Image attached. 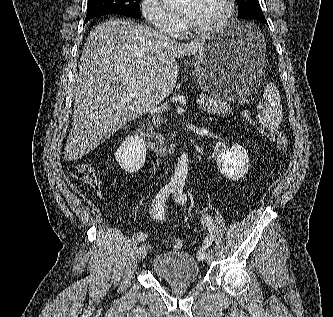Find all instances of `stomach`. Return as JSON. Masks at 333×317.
I'll return each instance as SVG.
<instances>
[{"instance_id": "1", "label": "stomach", "mask_w": 333, "mask_h": 317, "mask_svg": "<svg viewBox=\"0 0 333 317\" xmlns=\"http://www.w3.org/2000/svg\"><path fill=\"white\" fill-rule=\"evenodd\" d=\"M266 44L258 24L232 23L209 35L194 62L202 90L226 101L262 95Z\"/></svg>"}]
</instances>
